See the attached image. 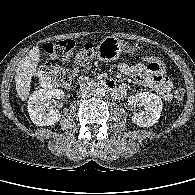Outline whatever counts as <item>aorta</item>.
Returning a JSON list of instances; mask_svg holds the SVG:
<instances>
[{
  "label": "aorta",
  "instance_id": "aorta-1",
  "mask_svg": "<svg viewBox=\"0 0 195 195\" xmlns=\"http://www.w3.org/2000/svg\"><path fill=\"white\" fill-rule=\"evenodd\" d=\"M106 94V89L105 88H97L95 90V95L98 97V98H102L104 97Z\"/></svg>",
  "mask_w": 195,
  "mask_h": 195
}]
</instances>
